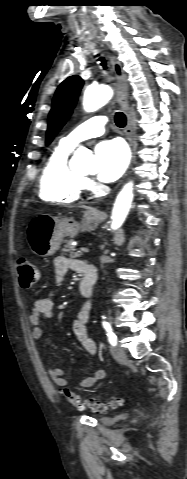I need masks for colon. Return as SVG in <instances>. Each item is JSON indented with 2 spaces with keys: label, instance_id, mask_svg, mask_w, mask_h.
I'll use <instances>...</instances> for the list:
<instances>
[{
  "label": "colon",
  "instance_id": "5ec220e1",
  "mask_svg": "<svg viewBox=\"0 0 187 479\" xmlns=\"http://www.w3.org/2000/svg\"><path fill=\"white\" fill-rule=\"evenodd\" d=\"M16 266L19 275L20 286L23 289L31 288L39 279L38 270L26 257H20L17 260ZM62 394L67 401L78 410L92 409L98 412H106L109 409L121 404V400L115 398L107 403L97 401L86 402L81 400L75 393L67 388L63 389Z\"/></svg>",
  "mask_w": 187,
  "mask_h": 479
}]
</instances>
